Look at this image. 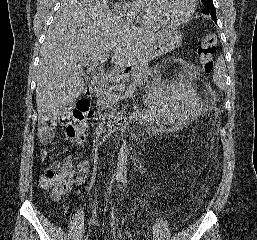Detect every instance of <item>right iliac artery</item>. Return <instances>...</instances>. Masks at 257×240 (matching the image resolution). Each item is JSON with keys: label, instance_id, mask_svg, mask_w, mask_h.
Instances as JSON below:
<instances>
[{"label": "right iliac artery", "instance_id": "obj_1", "mask_svg": "<svg viewBox=\"0 0 257 240\" xmlns=\"http://www.w3.org/2000/svg\"><path fill=\"white\" fill-rule=\"evenodd\" d=\"M83 240H88V237L85 236Z\"/></svg>", "mask_w": 257, "mask_h": 240}]
</instances>
